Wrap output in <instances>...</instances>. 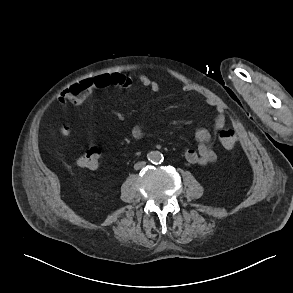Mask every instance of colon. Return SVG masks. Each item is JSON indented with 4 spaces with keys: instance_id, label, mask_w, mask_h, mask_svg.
I'll list each match as a JSON object with an SVG mask.
<instances>
[{
    "instance_id": "obj_1",
    "label": "colon",
    "mask_w": 293,
    "mask_h": 293,
    "mask_svg": "<svg viewBox=\"0 0 293 293\" xmlns=\"http://www.w3.org/2000/svg\"><path fill=\"white\" fill-rule=\"evenodd\" d=\"M62 133L68 135L70 129L68 127L62 128ZM220 144L225 149H232L236 143V134L233 129L227 128L221 130L218 135ZM101 152L97 146H90L87 150L78 158L77 164L86 169H96L100 163Z\"/></svg>"
}]
</instances>
